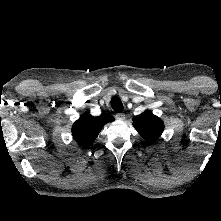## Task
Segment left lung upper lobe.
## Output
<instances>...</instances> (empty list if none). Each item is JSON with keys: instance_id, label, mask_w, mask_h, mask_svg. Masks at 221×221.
I'll return each instance as SVG.
<instances>
[{"instance_id": "obj_1", "label": "left lung upper lobe", "mask_w": 221, "mask_h": 221, "mask_svg": "<svg viewBox=\"0 0 221 221\" xmlns=\"http://www.w3.org/2000/svg\"><path fill=\"white\" fill-rule=\"evenodd\" d=\"M133 126L147 143L159 138L164 130L163 121L150 111L134 116Z\"/></svg>"}]
</instances>
